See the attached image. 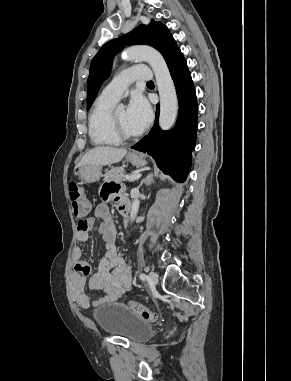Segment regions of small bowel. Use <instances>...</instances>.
I'll use <instances>...</instances> for the list:
<instances>
[{
	"instance_id": "1",
	"label": "small bowel",
	"mask_w": 291,
	"mask_h": 381,
	"mask_svg": "<svg viewBox=\"0 0 291 381\" xmlns=\"http://www.w3.org/2000/svg\"><path fill=\"white\" fill-rule=\"evenodd\" d=\"M117 191L116 188L109 187L108 190H103V194L111 197L116 195ZM117 200L120 213L126 216L125 208L128 206V201L120 196L117 197ZM95 218L101 219L97 230L102 236L105 246V256L100 260L97 271L92 274V267L84 259L83 252L79 247H76L73 252L74 272L70 276L71 294L82 308L114 303L133 286L130 267L117 251L116 230L106 203H100L95 207L93 217L86 221L85 230L80 229L81 222H79L77 242L84 243L89 240V233L95 228ZM89 275H91L88 280L89 288L104 293V296L98 300H92L85 291Z\"/></svg>"
}]
</instances>
